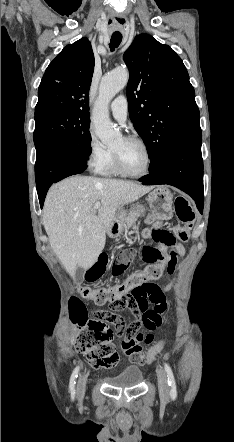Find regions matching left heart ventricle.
<instances>
[{
  "label": "left heart ventricle",
  "instance_id": "1",
  "mask_svg": "<svg viewBox=\"0 0 234 442\" xmlns=\"http://www.w3.org/2000/svg\"><path fill=\"white\" fill-rule=\"evenodd\" d=\"M113 151L118 152L122 164L127 171L139 173L144 170L146 154L139 144L127 142L122 138L114 145Z\"/></svg>",
  "mask_w": 234,
  "mask_h": 442
}]
</instances>
